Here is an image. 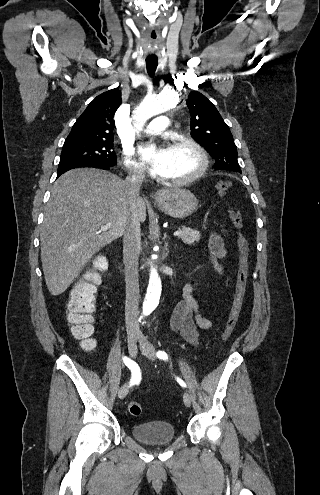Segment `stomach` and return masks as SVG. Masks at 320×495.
Returning <instances> with one entry per match:
<instances>
[{
	"label": "stomach",
	"instance_id": "1",
	"mask_svg": "<svg viewBox=\"0 0 320 495\" xmlns=\"http://www.w3.org/2000/svg\"><path fill=\"white\" fill-rule=\"evenodd\" d=\"M156 204L173 218H185L197 209L198 200L189 190L175 188L162 191L156 199Z\"/></svg>",
	"mask_w": 320,
	"mask_h": 495
}]
</instances>
